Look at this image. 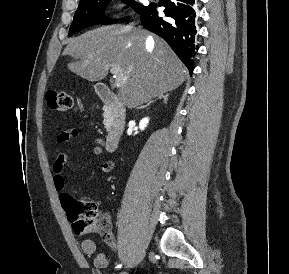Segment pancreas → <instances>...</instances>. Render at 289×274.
<instances>
[{"label":"pancreas","instance_id":"pancreas-1","mask_svg":"<svg viewBox=\"0 0 289 274\" xmlns=\"http://www.w3.org/2000/svg\"><path fill=\"white\" fill-rule=\"evenodd\" d=\"M111 124V120L109 118L104 119L105 128L108 130Z\"/></svg>","mask_w":289,"mask_h":274}]
</instances>
